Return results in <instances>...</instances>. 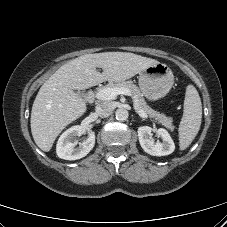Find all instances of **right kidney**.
Wrapping results in <instances>:
<instances>
[{"instance_id":"1","label":"right kidney","mask_w":227,"mask_h":227,"mask_svg":"<svg viewBox=\"0 0 227 227\" xmlns=\"http://www.w3.org/2000/svg\"><path fill=\"white\" fill-rule=\"evenodd\" d=\"M83 134L82 127L79 125L67 129L58 139L56 152L59 158L65 160H77L85 157L94 147L95 133L89 132L88 137L79 143L75 141L77 136Z\"/></svg>"}]
</instances>
